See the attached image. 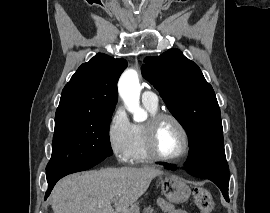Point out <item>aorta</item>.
Listing matches in <instances>:
<instances>
[{"label":"aorta","instance_id":"aorta-1","mask_svg":"<svg viewBox=\"0 0 270 213\" xmlns=\"http://www.w3.org/2000/svg\"><path fill=\"white\" fill-rule=\"evenodd\" d=\"M119 94L135 121H143L147 113L140 107V84L138 74L134 69L126 70L118 83Z\"/></svg>","mask_w":270,"mask_h":213}]
</instances>
